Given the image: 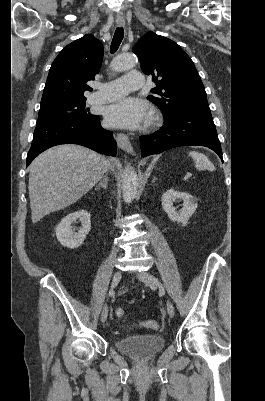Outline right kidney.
<instances>
[{
	"mask_svg": "<svg viewBox=\"0 0 265 401\" xmlns=\"http://www.w3.org/2000/svg\"><path fill=\"white\" fill-rule=\"evenodd\" d=\"M81 221V229H79L78 233H73V229L71 227V223L73 221ZM91 229V221H90V213L87 211H76V213H71V215H67L64 217L62 221H60L58 227H56V237L63 245V247H68V249H76V247H80L83 241L86 239V235H88Z\"/></svg>",
	"mask_w": 265,
	"mask_h": 401,
	"instance_id": "1",
	"label": "right kidney"
}]
</instances>
